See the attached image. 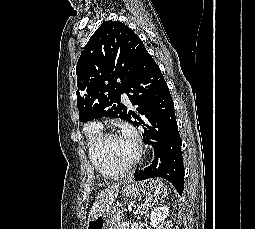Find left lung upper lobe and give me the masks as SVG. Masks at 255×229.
I'll list each match as a JSON object with an SVG mask.
<instances>
[{
    "mask_svg": "<svg viewBox=\"0 0 255 229\" xmlns=\"http://www.w3.org/2000/svg\"><path fill=\"white\" fill-rule=\"evenodd\" d=\"M145 47L125 24L106 21L95 31L81 53L77 67V108L81 121L101 117L127 120L121 94Z\"/></svg>",
    "mask_w": 255,
    "mask_h": 229,
    "instance_id": "obj_1",
    "label": "left lung upper lobe"
}]
</instances>
